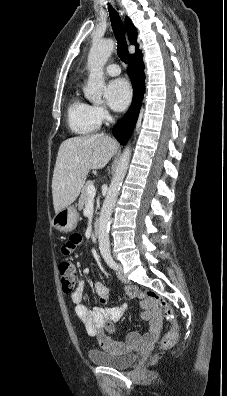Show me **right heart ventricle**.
Returning <instances> with one entry per match:
<instances>
[{"label": "right heart ventricle", "mask_w": 227, "mask_h": 396, "mask_svg": "<svg viewBox=\"0 0 227 396\" xmlns=\"http://www.w3.org/2000/svg\"><path fill=\"white\" fill-rule=\"evenodd\" d=\"M67 122L75 134L87 135L96 131L100 125L93 114L92 105L74 95L67 108Z\"/></svg>", "instance_id": "obj_1"}]
</instances>
